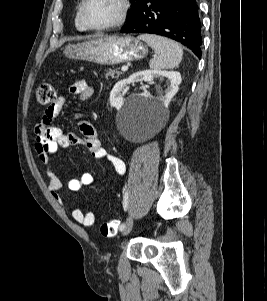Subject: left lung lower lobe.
<instances>
[{"instance_id":"0a47b994","label":"left lung lower lobe","mask_w":267,"mask_h":301,"mask_svg":"<svg viewBox=\"0 0 267 301\" xmlns=\"http://www.w3.org/2000/svg\"><path fill=\"white\" fill-rule=\"evenodd\" d=\"M123 33H149L169 37L201 58V24L196 0H145L137 17Z\"/></svg>"}]
</instances>
